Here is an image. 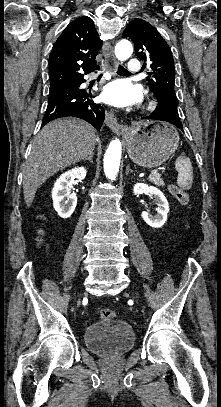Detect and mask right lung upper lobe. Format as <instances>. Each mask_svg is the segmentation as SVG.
Returning a JSON list of instances; mask_svg holds the SVG:
<instances>
[{
	"label": "right lung upper lobe",
	"instance_id": "right-lung-upper-lobe-1",
	"mask_svg": "<svg viewBox=\"0 0 221 407\" xmlns=\"http://www.w3.org/2000/svg\"><path fill=\"white\" fill-rule=\"evenodd\" d=\"M102 46L91 18L82 16L64 29L49 57L51 84L64 85L97 70L95 57Z\"/></svg>",
	"mask_w": 221,
	"mask_h": 407
}]
</instances>
